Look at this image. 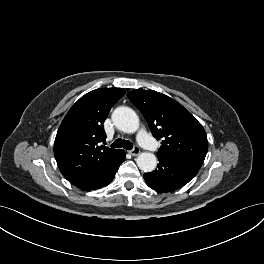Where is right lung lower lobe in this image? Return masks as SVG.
Instances as JSON below:
<instances>
[{"label": "right lung lower lobe", "instance_id": "right-lung-lower-lobe-1", "mask_svg": "<svg viewBox=\"0 0 264 264\" xmlns=\"http://www.w3.org/2000/svg\"><path fill=\"white\" fill-rule=\"evenodd\" d=\"M125 160V151L120 150L116 155L105 161L94 170L70 181L76 187L89 191L111 183L119 166Z\"/></svg>", "mask_w": 264, "mask_h": 264}]
</instances>
